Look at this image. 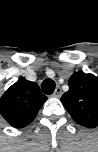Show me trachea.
<instances>
[{
  "label": "trachea",
  "mask_w": 98,
  "mask_h": 152,
  "mask_svg": "<svg viewBox=\"0 0 98 152\" xmlns=\"http://www.w3.org/2000/svg\"><path fill=\"white\" fill-rule=\"evenodd\" d=\"M41 89L44 94H52L55 90V82L52 79H45L41 84Z\"/></svg>",
  "instance_id": "1"
}]
</instances>
